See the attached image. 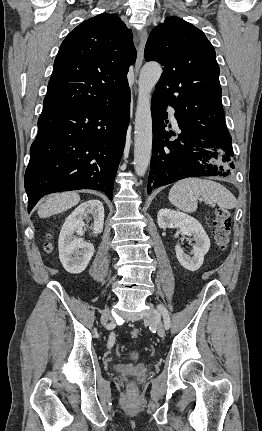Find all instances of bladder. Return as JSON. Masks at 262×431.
I'll list each match as a JSON object with an SVG mask.
<instances>
[{"label":"bladder","instance_id":"bladder-1","mask_svg":"<svg viewBox=\"0 0 262 431\" xmlns=\"http://www.w3.org/2000/svg\"><path fill=\"white\" fill-rule=\"evenodd\" d=\"M130 357L134 360H138L142 357V353L140 351L134 350L130 352Z\"/></svg>","mask_w":262,"mask_h":431}]
</instances>
